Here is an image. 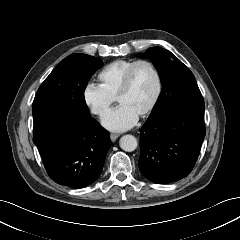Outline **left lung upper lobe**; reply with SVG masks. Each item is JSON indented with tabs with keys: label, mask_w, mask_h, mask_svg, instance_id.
Returning <instances> with one entry per match:
<instances>
[{
	"label": "left lung upper lobe",
	"mask_w": 240,
	"mask_h": 240,
	"mask_svg": "<svg viewBox=\"0 0 240 240\" xmlns=\"http://www.w3.org/2000/svg\"><path fill=\"white\" fill-rule=\"evenodd\" d=\"M139 57L153 60L162 83V91L147 121H154L179 107L204 109V100L193 73L170 51L151 47Z\"/></svg>",
	"instance_id": "5c2ea615"
}]
</instances>
